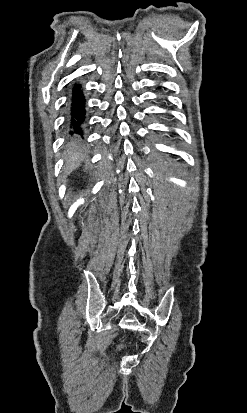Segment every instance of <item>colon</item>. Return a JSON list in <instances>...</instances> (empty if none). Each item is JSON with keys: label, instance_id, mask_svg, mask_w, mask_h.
<instances>
[{"label": "colon", "instance_id": "colon-1", "mask_svg": "<svg viewBox=\"0 0 247 413\" xmlns=\"http://www.w3.org/2000/svg\"><path fill=\"white\" fill-rule=\"evenodd\" d=\"M115 348H116V349H119V348H120V345H119V344H116V345H115Z\"/></svg>", "mask_w": 247, "mask_h": 413}]
</instances>
